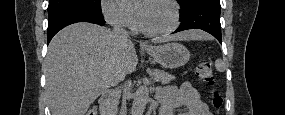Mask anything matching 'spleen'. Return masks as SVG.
Returning a JSON list of instances; mask_svg holds the SVG:
<instances>
[{
	"label": "spleen",
	"mask_w": 285,
	"mask_h": 115,
	"mask_svg": "<svg viewBox=\"0 0 285 115\" xmlns=\"http://www.w3.org/2000/svg\"><path fill=\"white\" fill-rule=\"evenodd\" d=\"M215 67H216L217 71H219V72H224V70H225V65L221 59H217L215 61Z\"/></svg>",
	"instance_id": "obj_1"
}]
</instances>
